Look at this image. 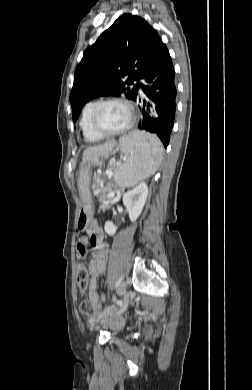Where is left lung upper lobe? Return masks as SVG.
I'll return each instance as SVG.
<instances>
[{
  "mask_svg": "<svg viewBox=\"0 0 252 390\" xmlns=\"http://www.w3.org/2000/svg\"><path fill=\"white\" fill-rule=\"evenodd\" d=\"M162 44L157 31L144 19L120 16L87 48L75 70L70 93L72 119L95 97L125 95L135 101L139 84L128 86L142 78Z\"/></svg>",
  "mask_w": 252,
  "mask_h": 390,
  "instance_id": "1",
  "label": "left lung upper lobe"
}]
</instances>
